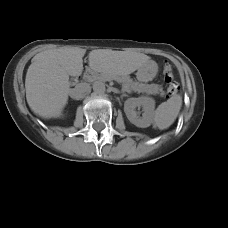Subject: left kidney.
<instances>
[{
	"instance_id": "left-kidney-1",
	"label": "left kidney",
	"mask_w": 228,
	"mask_h": 228,
	"mask_svg": "<svg viewBox=\"0 0 228 228\" xmlns=\"http://www.w3.org/2000/svg\"><path fill=\"white\" fill-rule=\"evenodd\" d=\"M142 106L143 114L139 117L135 111ZM155 101L150 97L129 98L124 103V112L128 120L137 127L146 128L152 123Z\"/></svg>"
}]
</instances>
